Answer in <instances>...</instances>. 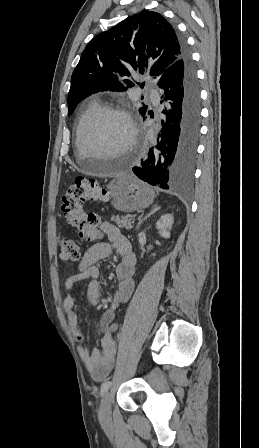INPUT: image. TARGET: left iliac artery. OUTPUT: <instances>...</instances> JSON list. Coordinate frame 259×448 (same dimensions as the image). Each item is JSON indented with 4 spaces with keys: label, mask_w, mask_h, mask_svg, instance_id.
<instances>
[{
    "label": "left iliac artery",
    "mask_w": 259,
    "mask_h": 448,
    "mask_svg": "<svg viewBox=\"0 0 259 448\" xmlns=\"http://www.w3.org/2000/svg\"><path fill=\"white\" fill-rule=\"evenodd\" d=\"M112 382L111 381H106L101 385V389H100V394L103 395L104 393L107 392V390L110 388Z\"/></svg>",
    "instance_id": "44dca946"
}]
</instances>
